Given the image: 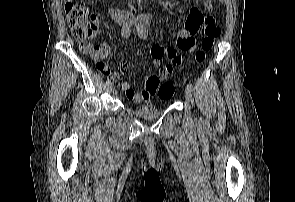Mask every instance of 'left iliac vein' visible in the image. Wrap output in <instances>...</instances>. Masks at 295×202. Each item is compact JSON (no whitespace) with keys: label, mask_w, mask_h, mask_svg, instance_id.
Instances as JSON below:
<instances>
[{"label":"left iliac vein","mask_w":295,"mask_h":202,"mask_svg":"<svg viewBox=\"0 0 295 202\" xmlns=\"http://www.w3.org/2000/svg\"><path fill=\"white\" fill-rule=\"evenodd\" d=\"M185 98H186V100H187L188 102H190V101L192 100V93H191V91L188 90L187 88H186V90H185Z\"/></svg>","instance_id":"1"}]
</instances>
